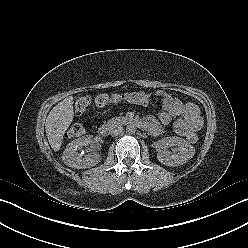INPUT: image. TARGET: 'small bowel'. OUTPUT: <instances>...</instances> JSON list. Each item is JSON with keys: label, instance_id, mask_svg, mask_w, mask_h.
Segmentation results:
<instances>
[{"label": "small bowel", "instance_id": "obj_1", "mask_svg": "<svg viewBox=\"0 0 248 248\" xmlns=\"http://www.w3.org/2000/svg\"><path fill=\"white\" fill-rule=\"evenodd\" d=\"M120 95L122 98L115 101V104L125 101L135 105L147 106L153 97H159L162 102V109L158 112L161 124L169 125L174 118H177L174 122V130L187 140L191 134L199 131L203 125L199 108L195 104L182 102L169 92L162 90L153 92L137 91ZM145 122H147V128L153 135L158 136L162 133V125L151 120Z\"/></svg>", "mask_w": 248, "mask_h": 248}]
</instances>
